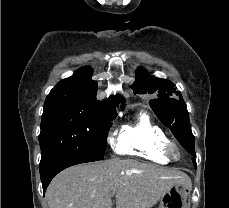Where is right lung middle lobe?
<instances>
[{
  "mask_svg": "<svg viewBox=\"0 0 229 208\" xmlns=\"http://www.w3.org/2000/svg\"><path fill=\"white\" fill-rule=\"evenodd\" d=\"M112 120L91 116L69 105H44L39 134L42 153L39 167L63 154L103 159Z\"/></svg>",
  "mask_w": 229,
  "mask_h": 208,
  "instance_id": "dd1d6c3e",
  "label": "right lung middle lobe"
}]
</instances>
